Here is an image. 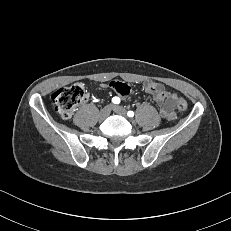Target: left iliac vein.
Masks as SVG:
<instances>
[{
	"instance_id": "left-iliac-vein-1",
	"label": "left iliac vein",
	"mask_w": 231,
	"mask_h": 231,
	"mask_svg": "<svg viewBox=\"0 0 231 231\" xmlns=\"http://www.w3.org/2000/svg\"><path fill=\"white\" fill-rule=\"evenodd\" d=\"M113 110L115 113L121 115V116H126L127 115V111L125 108L121 107V106H114Z\"/></svg>"
}]
</instances>
